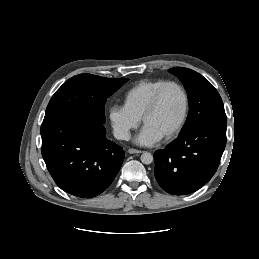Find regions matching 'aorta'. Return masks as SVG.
<instances>
[{
	"instance_id": "obj_1",
	"label": "aorta",
	"mask_w": 259,
	"mask_h": 259,
	"mask_svg": "<svg viewBox=\"0 0 259 259\" xmlns=\"http://www.w3.org/2000/svg\"><path fill=\"white\" fill-rule=\"evenodd\" d=\"M141 161L143 164H151L153 162V155L149 152H145L141 155Z\"/></svg>"
}]
</instances>
